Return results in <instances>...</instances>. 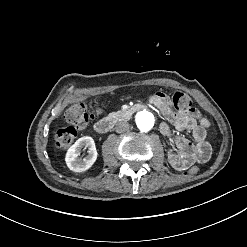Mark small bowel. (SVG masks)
Here are the masks:
<instances>
[{
  "label": "small bowel",
  "instance_id": "c3829d8e",
  "mask_svg": "<svg viewBox=\"0 0 247 247\" xmlns=\"http://www.w3.org/2000/svg\"><path fill=\"white\" fill-rule=\"evenodd\" d=\"M150 101L167 116L169 121V123L163 122L160 125L161 133L171 139L177 148L168 150L169 164L176 170L182 171L193 162H206L211 154L210 144L206 141V130L210 126L209 120L202 117L200 112L194 108L173 107L169 98L163 93L153 94ZM170 124L178 131H189L192 141L185 137L174 136ZM187 148H191L190 153L185 152Z\"/></svg>",
  "mask_w": 247,
  "mask_h": 247
}]
</instances>
